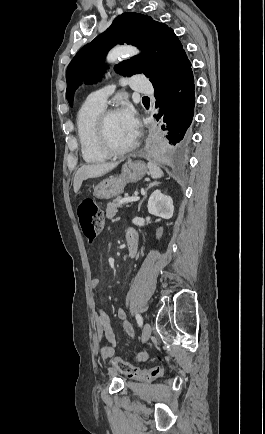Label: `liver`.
Listing matches in <instances>:
<instances>
[{"label":"liver","instance_id":"obj_1","mask_svg":"<svg viewBox=\"0 0 265 434\" xmlns=\"http://www.w3.org/2000/svg\"><path fill=\"white\" fill-rule=\"evenodd\" d=\"M118 164H120V162H110V164L97 162V164H90V166H81V168L77 170L73 180L75 194L79 192L83 180H88V178H100V176H104L107 172L114 170Z\"/></svg>","mask_w":265,"mask_h":434}]
</instances>
